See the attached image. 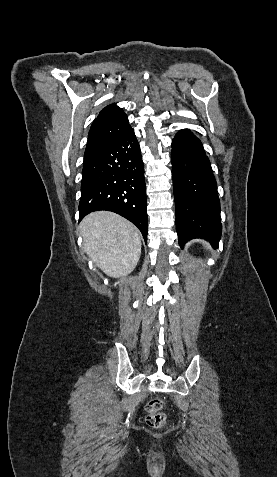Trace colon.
I'll list each match as a JSON object with an SVG mask.
<instances>
[{
	"mask_svg": "<svg viewBox=\"0 0 277 477\" xmlns=\"http://www.w3.org/2000/svg\"><path fill=\"white\" fill-rule=\"evenodd\" d=\"M164 402L160 398L149 400L145 406L147 412L146 423L152 428H161L166 423V415L163 411Z\"/></svg>",
	"mask_w": 277,
	"mask_h": 477,
	"instance_id": "1",
	"label": "colon"
}]
</instances>
